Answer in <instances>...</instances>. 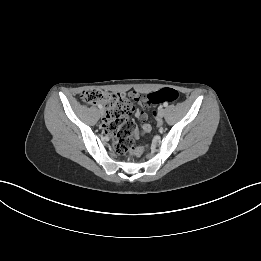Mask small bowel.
<instances>
[{
    "instance_id": "c3829d8e",
    "label": "small bowel",
    "mask_w": 261,
    "mask_h": 261,
    "mask_svg": "<svg viewBox=\"0 0 261 261\" xmlns=\"http://www.w3.org/2000/svg\"><path fill=\"white\" fill-rule=\"evenodd\" d=\"M130 96L136 101H138L142 107H145L146 105H148V103H150L145 95H140L138 92L132 91L130 92ZM135 116L141 121H145L148 117L147 113L143 109H138L135 113ZM105 121L106 118L104 117V122ZM143 130L149 133L152 129L149 124H144Z\"/></svg>"
}]
</instances>
